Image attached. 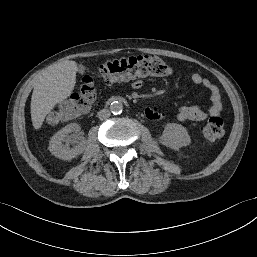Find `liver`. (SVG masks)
<instances>
[{
  "label": "liver",
  "mask_w": 257,
  "mask_h": 257,
  "mask_svg": "<svg viewBox=\"0 0 257 257\" xmlns=\"http://www.w3.org/2000/svg\"><path fill=\"white\" fill-rule=\"evenodd\" d=\"M77 70L75 61H63L50 66L39 78L31 98V120L36 130L46 115L72 93Z\"/></svg>",
  "instance_id": "6515ba94"
}]
</instances>
